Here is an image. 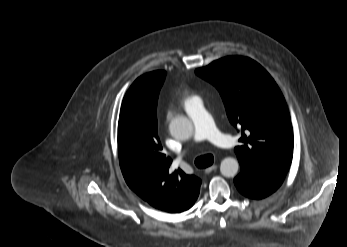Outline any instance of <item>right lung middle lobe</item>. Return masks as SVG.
Returning a JSON list of instances; mask_svg holds the SVG:
<instances>
[{
  "mask_svg": "<svg viewBox=\"0 0 347 247\" xmlns=\"http://www.w3.org/2000/svg\"><path fill=\"white\" fill-rule=\"evenodd\" d=\"M159 74L163 77H165V72H159Z\"/></svg>",
  "mask_w": 347,
  "mask_h": 247,
  "instance_id": "1",
  "label": "right lung middle lobe"
}]
</instances>
